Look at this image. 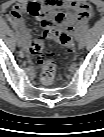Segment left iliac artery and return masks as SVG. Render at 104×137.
Returning a JSON list of instances; mask_svg holds the SVG:
<instances>
[{"label": "left iliac artery", "mask_w": 104, "mask_h": 137, "mask_svg": "<svg viewBox=\"0 0 104 137\" xmlns=\"http://www.w3.org/2000/svg\"><path fill=\"white\" fill-rule=\"evenodd\" d=\"M87 30H88V28H87V27H86V28H84V29L82 30V33H81V38H83V37H84V35L86 34Z\"/></svg>", "instance_id": "1"}]
</instances>
